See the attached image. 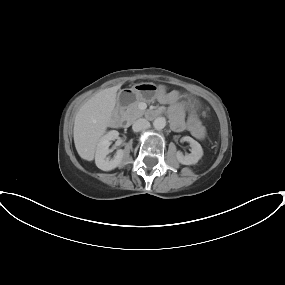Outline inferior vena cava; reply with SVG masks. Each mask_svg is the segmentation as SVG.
Masks as SVG:
<instances>
[{"mask_svg":"<svg viewBox=\"0 0 285 285\" xmlns=\"http://www.w3.org/2000/svg\"><path fill=\"white\" fill-rule=\"evenodd\" d=\"M149 127H150L149 121H147L146 119H143V118L136 120L132 125V129L134 132H139V131L145 130Z\"/></svg>","mask_w":285,"mask_h":285,"instance_id":"602c4592","label":"inferior vena cava"}]
</instances>
